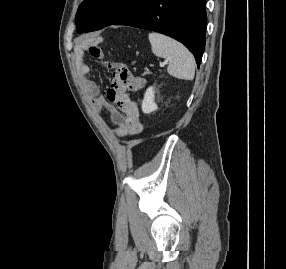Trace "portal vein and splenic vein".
I'll return each mask as SVG.
<instances>
[{"label":"portal vein and splenic vein","mask_w":286,"mask_h":269,"mask_svg":"<svg viewBox=\"0 0 286 269\" xmlns=\"http://www.w3.org/2000/svg\"><path fill=\"white\" fill-rule=\"evenodd\" d=\"M166 63H167V61L161 62V63H160V67H164V66L166 65Z\"/></svg>","instance_id":"18ae733b"}]
</instances>
